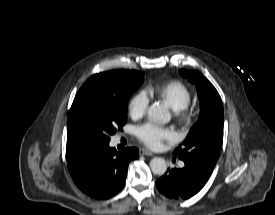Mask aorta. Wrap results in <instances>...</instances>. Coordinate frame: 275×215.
<instances>
[{
	"instance_id": "obj_1",
	"label": "aorta",
	"mask_w": 275,
	"mask_h": 215,
	"mask_svg": "<svg viewBox=\"0 0 275 215\" xmlns=\"http://www.w3.org/2000/svg\"><path fill=\"white\" fill-rule=\"evenodd\" d=\"M147 113L148 117L155 122L167 123L171 118L167 108L160 104L150 106ZM150 169L156 175H163L167 170L166 161L163 158L155 157L150 161Z\"/></svg>"
}]
</instances>
